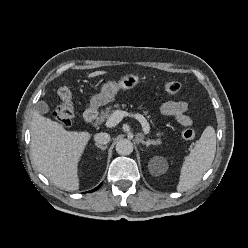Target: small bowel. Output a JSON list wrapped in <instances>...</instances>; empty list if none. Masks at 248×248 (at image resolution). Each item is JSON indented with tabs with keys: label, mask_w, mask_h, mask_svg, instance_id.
Segmentation results:
<instances>
[{
	"label": "small bowel",
	"mask_w": 248,
	"mask_h": 248,
	"mask_svg": "<svg viewBox=\"0 0 248 248\" xmlns=\"http://www.w3.org/2000/svg\"><path fill=\"white\" fill-rule=\"evenodd\" d=\"M187 110L188 103L185 101H168L160 108L162 115L173 117L182 126L192 124V119L186 115Z\"/></svg>",
	"instance_id": "1"
}]
</instances>
